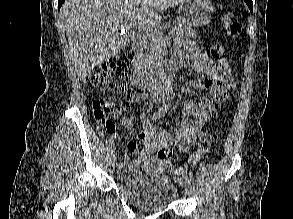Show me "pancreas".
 Wrapping results in <instances>:
<instances>
[{
	"mask_svg": "<svg viewBox=\"0 0 293 219\" xmlns=\"http://www.w3.org/2000/svg\"><path fill=\"white\" fill-rule=\"evenodd\" d=\"M172 31L181 37H195L196 32L191 25L181 18L173 21ZM147 61H156L165 51L163 32L161 29H150L143 45Z\"/></svg>",
	"mask_w": 293,
	"mask_h": 219,
	"instance_id": "obj_1",
	"label": "pancreas"
}]
</instances>
